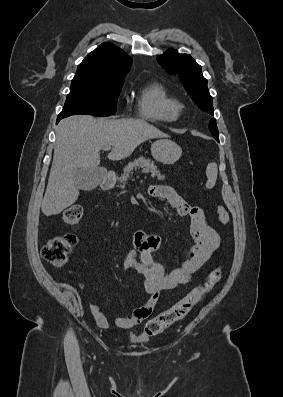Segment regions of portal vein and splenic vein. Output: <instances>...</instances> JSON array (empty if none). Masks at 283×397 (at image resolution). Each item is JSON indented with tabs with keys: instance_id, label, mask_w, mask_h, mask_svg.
Wrapping results in <instances>:
<instances>
[{
	"instance_id": "18ae733b",
	"label": "portal vein and splenic vein",
	"mask_w": 283,
	"mask_h": 397,
	"mask_svg": "<svg viewBox=\"0 0 283 397\" xmlns=\"http://www.w3.org/2000/svg\"><path fill=\"white\" fill-rule=\"evenodd\" d=\"M103 149L104 151H109L111 149V146H105Z\"/></svg>"
}]
</instances>
